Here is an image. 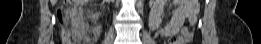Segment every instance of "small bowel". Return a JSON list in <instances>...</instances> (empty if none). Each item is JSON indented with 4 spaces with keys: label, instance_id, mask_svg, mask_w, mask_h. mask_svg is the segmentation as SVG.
<instances>
[{
    "label": "small bowel",
    "instance_id": "small-bowel-1",
    "mask_svg": "<svg viewBox=\"0 0 261 44\" xmlns=\"http://www.w3.org/2000/svg\"><path fill=\"white\" fill-rule=\"evenodd\" d=\"M174 5L177 8L167 24L161 29V34L165 37L173 38L182 33L185 35V43H187L191 38L190 28L193 27L197 21L199 4L198 2L178 0L175 1ZM163 6V1H157L151 9L150 24L155 29L160 25ZM185 20H188L189 27L184 25Z\"/></svg>",
    "mask_w": 261,
    "mask_h": 44
}]
</instances>
